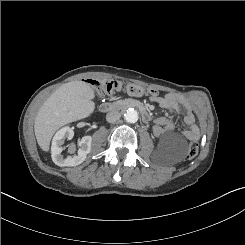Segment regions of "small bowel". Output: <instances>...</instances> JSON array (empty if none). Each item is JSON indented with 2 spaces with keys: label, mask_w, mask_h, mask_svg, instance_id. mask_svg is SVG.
I'll return each mask as SVG.
<instances>
[{
  "label": "small bowel",
  "mask_w": 245,
  "mask_h": 245,
  "mask_svg": "<svg viewBox=\"0 0 245 245\" xmlns=\"http://www.w3.org/2000/svg\"><path fill=\"white\" fill-rule=\"evenodd\" d=\"M151 101L158 103V105L168 110L169 112H177L181 115L183 122L188 126L184 132V136L190 141H197L200 139L201 133L194 114L191 112L188 103L179 95L175 93H167L161 97H151ZM174 122L165 117H159L155 120L153 126V134L156 137L161 136L165 131L173 130Z\"/></svg>",
  "instance_id": "1"
}]
</instances>
